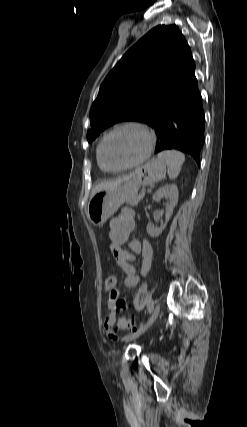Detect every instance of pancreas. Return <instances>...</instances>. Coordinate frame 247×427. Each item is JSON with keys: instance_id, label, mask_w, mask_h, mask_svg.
Wrapping results in <instances>:
<instances>
[{"instance_id": "cf45deb5", "label": "pancreas", "mask_w": 247, "mask_h": 427, "mask_svg": "<svg viewBox=\"0 0 247 427\" xmlns=\"http://www.w3.org/2000/svg\"><path fill=\"white\" fill-rule=\"evenodd\" d=\"M143 196H144V194H143V193H141V194H137V195H135V196H134V197L129 201V203H130L132 206H137V205H138V203L142 200Z\"/></svg>"}]
</instances>
